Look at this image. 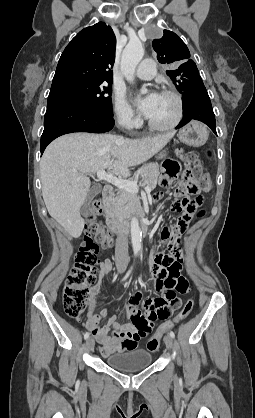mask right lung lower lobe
Segmentation results:
<instances>
[{
	"instance_id": "obj_1",
	"label": "right lung lower lobe",
	"mask_w": 255,
	"mask_h": 418,
	"mask_svg": "<svg viewBox=\"0 0 255 418\" xmlns=\"http://www.w3.org/2000/svg\"><path fill=\"white\" fill-rule=\"evenodd\" d=\"M113 126V117L97 114L86 106L72 102L48 103L41 136V154L51 141L61 135L73 132L104 133Z\"/></svg>"
}]
</instances>
